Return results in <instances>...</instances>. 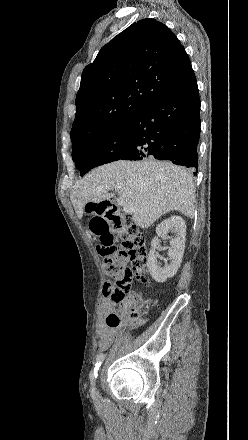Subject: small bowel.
<instances>
[{"mask_svg":"<svg viewBox=\"0 0 248 440\" xmlns=\"http://www.w3.org/2000/svg\"><path fill=\"white\" fill-rule=\"evenodd\" d=\"M126 307H120L115 313L121 317L126 314ZM109 312H114L113 308L106 307L102 305L98 312V317L96 320V333L99 338L98 347L101 350L108 349L116 338L119 329L116 327H109L105 322V316Z\"/></svg>","mask_w":248,"mask_h":440,"instance_id":"c3829d8e","label":"small bowel"}]
</instances>
